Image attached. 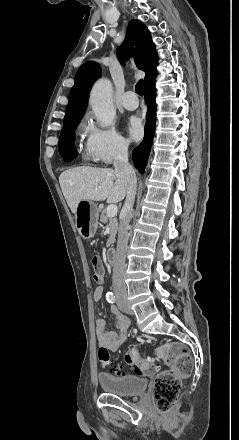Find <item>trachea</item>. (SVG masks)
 <instances>
[{"label": "trachea", "instance_id": "obj_1", "mask_svg": "<svg viewBox=\"0 0 239 440\" xmlns=\"http://www.w3.org/2000/svg\"><path fill=\"white\" fill-rule=\"evenodd\" d=\"M135 91L138 95L143 96V80H139L136 84Z\"/></svg>", "mask_w": 239, "mask_h": 440}]
</instances>
